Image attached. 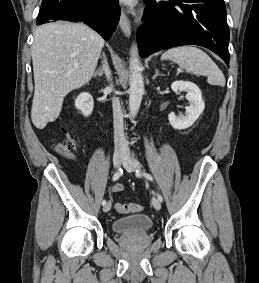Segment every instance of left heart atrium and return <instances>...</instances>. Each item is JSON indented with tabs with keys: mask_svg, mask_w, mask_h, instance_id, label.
Masks as SVG:
<instances>
[{
	"mask_svg": "<svg viewBox=\"0 0 259 283\" xmlns=\"http://www.w3.org/2000/svg\"><path fill=\"white\" fill-rule=\"evenodd\" d=\"M123 2H125V3H131L132 2V0H122Z\"/></svg>",
	"mask_w": 259,
	"mask_h": 283,
	"instance_id": "obj_1",
	"label": "left heart atrium"
}]
</instances>
